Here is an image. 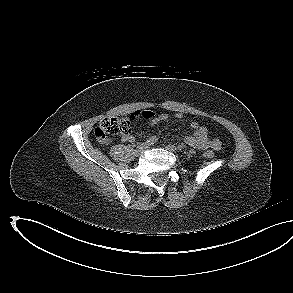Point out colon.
<instances>
[{
  "instance_id": "colon-1",
  "label": "colon",
  "mask_w": 293,
  "mask_h": 293,
  "mask_svg": "<svg viewBox=\"0 0 293 293\" xmlns=\"http://www.w3.org/2000/svg\"><path fill=\"white\" fill-rule=\"evenodd\" d=\"M130 132V119L124 117H108L101 121L95 128L94 135L97 140L106 142L112 136L127 135L130 134ZM205 155L207 157H213L214 152L212 150H207Z\"/></svg>"
}]
</instances>
